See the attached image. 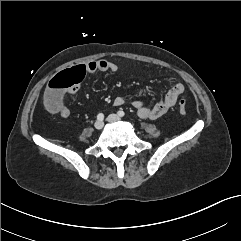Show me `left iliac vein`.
I'll return each instance as SVG.
<instances>
[{
	"mask_svg": "<svg viewBox=\"0 0 241 241\" xmlns=\"http://www.w3.org/2000/svg\"><path fill=\"white\" fill-rule=\"evenodd\" d=\"M107 120L109 121V122H118V121H120V117L118 116V115H116V114H110L108 117H107Z\"/></svg>",
	"mask_w": 241,
	"mask_h": 241,
	"instance_id": "4c4485c4",
	"label": "left iliac vein"
}]
</instances>
